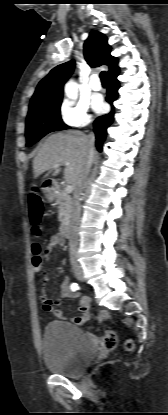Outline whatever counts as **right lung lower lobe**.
Returning <instances> with one entry per match:
<instances>
[{
	"mask_svg": "<svg viewBox=\"0 0 168 415\" xmlns=\"http://www.w3.org/2000/svg\"><path fill=\"white\" fill-rule=\"evenodd\" d=\"M119 75V70L108 76L109 78V87L107 90L106 101L111 104L112 110L109 114L100 116L94 121V132L96 135V147L99 152L102 151V145L106 138V130L112 124L114 120V107L113 101L118 97V89L120 87L117 76Z\"/></svg>",
	"mask_w": 168,
	"mask_h": 415,
	"instance_id": "right-lung-lower-lobe-1",
	"label": "right lung lower lobe"
}]
</instances>
